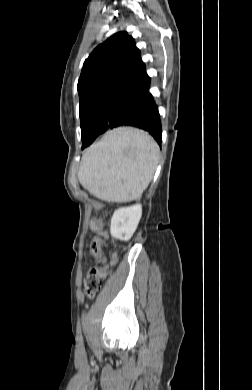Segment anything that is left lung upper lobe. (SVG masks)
I'll use <instances>...</instances> for the list:
<instances>
[{"mask_svg": "<svg viewBox=\"0 0 252 390\" xmlns=\"http://www.w3.org/2000/svg\"><path fill=\"white\" fill-rule=\"evenodd\" d=\"M149 79L140 50L126 32L98 45L85 60L78 81L81 133L93 120L115 116Z\"/></svg>", "mask_w": 252, "mask_h": 390, "instance_id": "left-lung-upper-lobe-1", "label": "left lung upper lobe"}]
</instances>
